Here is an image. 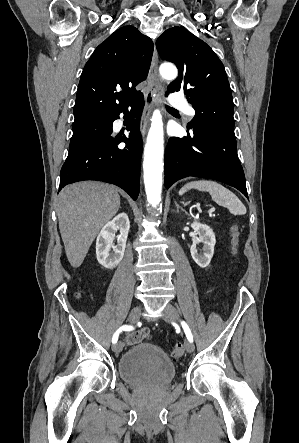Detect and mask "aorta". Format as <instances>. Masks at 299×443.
<instances>
[{
  "instance_id": "1",
  "label": "aorta",
  "mask_w": 299,
  "mask_h": 443,
  "mask_svg": "<svg viewBox=\"0 0 299 443\" xmlns=\"http://www.w3.org/2000/svg\"><path fill=\"white\" fill-rule=\"evenodd\" d=\"M159 73L163 79L173 80L177 77V69L172 64H162ZM151 127L144 150V184L148 203L157 208L161 206L162 172L164 157L163 122L159 110L154 111Z\"/></svg>"
}]
</instances>
